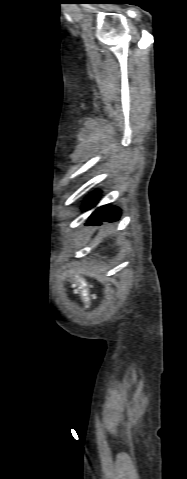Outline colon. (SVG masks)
I'll use <instances>...</instances> for the list:
<instances>
[{
    "mask_svg": "<svg viewBox=\"0 0 187 479\" xmlns=\"http://www.w3.org/2000/svg\"><path fill=\"white\" fill-rule=\"evenodd\" d=\"M78 293L79 295L81 296L83 302L89 306L92 299H93V295L89 292V289L88 287L84 284V285H81L79 286L78 288Z\"/></svg>",
    "mask_w": 187,
    "mask_h": 479,
    "instance_id": "obj_1",
    "label": "colon"
}]
</instances>
